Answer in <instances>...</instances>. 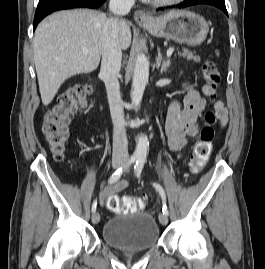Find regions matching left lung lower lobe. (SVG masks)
Wrapping results in <instances>:
<instances>
[{
    "mask_svg": "<svg viewBox=\"0 0 265 269\" xmlns=\"http://www.w3.org/2000/svg\"><path fill=\"white\" fill-rule=\"evenodd\" d=\"M198 4H207L215 6L221 9L226 15H228L224 0H188L185 4L181 5V8L188 6L198 5Z\"/></svg>",
    "mask_w": 265,
    "mask_h": 269,
    "instance_id": "0a47b994",
    "label": "left lung lower lobe"
}]
</instances>
